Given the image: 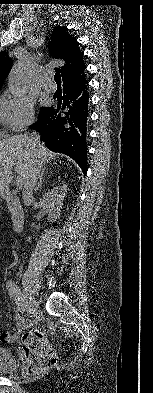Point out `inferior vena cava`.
<instances>
[{
  "label": "inferior vena cava",
  "mask_w": 153,
  "mask_h": 393,
  "mask_svg": "<svg viewBox=\"0 0 153 393\" xmlns=\"http://www.w3.org/2000/svg\"><path fill=\"white\" fill-rule=\"evenodd\" d=\"M29 141L32 148V153L36 155L33 158L34 167L30 171V174L26 177L23 185V197L25 199H31L33 195V190L36 189L38 179L40 180L43 168L42 163L46 160V153L40 143V135L36 131H32L29 135Z\"/></svg>",
  "instance_id": "1"
}]
</instances>
